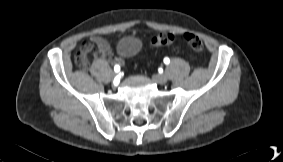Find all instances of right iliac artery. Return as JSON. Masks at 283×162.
Wrapping results in <instances>:
<instances>
[{
  "label": "right iliac artery",
  "instance_id": "1",
  "mask_svg": "<svg viewBox=\"0 0 283 162\" xmlns=\"http://www.w3.org/2000/svg\"><path fill=\"white\" fill-rule=\"evenodd\" d=\"M114 71L115 72H119L120 71V66L119 65H115L114 66Z\"/></svg>",
  "mask_w": 283,
  "mask_h": 162
}]
</instances>
